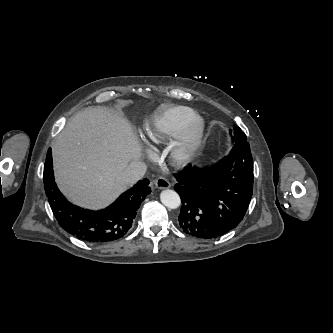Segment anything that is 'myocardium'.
Here are the masks:
<instances>
[{
  "label": "myocardium",
  "mask_w": 333,
  "mask_h": 333,
  "mask_svg": "<svg viewBox=\"0 0 333 333\" xmlns=\"http://www.w3.org/2000/svg\"><path fill=\"white\" fill-rule=\"evenodd\" d=\"M205 129V120L199 115L184 124L171 147L170 156L175 165L183 166L190 162L203 141Z\"/></svg>",
  "instance_id": "myocardium-1"
}]
</instances>
